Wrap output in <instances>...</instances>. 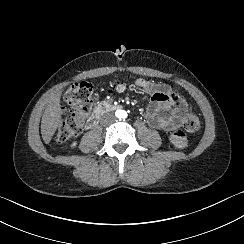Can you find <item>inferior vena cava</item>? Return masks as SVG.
Returning a JSON list of instances; mask_svg holds the SVG:
<instances>
[{
    "instance_id": "602c4592",
    "label": "inferior vena cava",
    "mask_w": 244,
    "mask_h": 244,
    "mask_svg": "<svg viewBox=\"0 0 244 244\" xmlns=\"http://www.w3.org/2000/svg\"><path fill=\"white\" fill-rule=\"evenodd\" d=\"M112 120H115V116L114 115H111V114H106L103 116L102 118V121L101 122H108V121H112Z\"/></svg>"
}]
</instances>
